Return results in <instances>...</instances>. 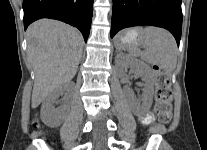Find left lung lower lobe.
<instances>
[{
	"instance_id": "obj_1",
	"label": "left lung lower lobe",
	"mask_w": 207,
	"mask_h": 150,
	"mask_svg": "<svg viewBox=\"0 0 207 150\" xmlns=\"http://www.w3.org/2000/svg\"><path fill=\"white\" fill-rule=\"evenodd\" d=\"M151 25L169 30L179 46L181 0H113L111 38L121 29Z\"/></svg>"
}]
</instances>
